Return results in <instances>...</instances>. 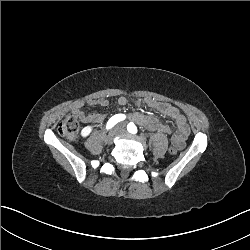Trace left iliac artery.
I'll use <instances>...</instances> for the list:
<instances>
[{
    "label": "left iliac artery",
    "instance_id": "obj_1",
    "mask_svg": "<svg viewBox=\"0 0 250 250\" xmlns=\"http://www.w3.org/2000/svg\"><path fill=\"white\" fill-rule=\"evenodd\" d=\"M127 130L132 133V134H136L137 133V127L135 126V124L133 122H130L127 125Z\"/></svg>",
    "mask_w": 250,
    "mask_h": 250
}]
</instances>
